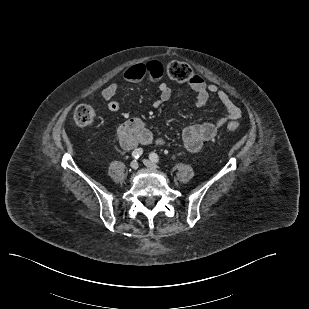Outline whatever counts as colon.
Returning a JSON list of instances; mask_svg holds the SVG:
<instances>
[{"label": "colon", "instance_id": "obj_1", "mask_svg": "<svg viewBox=\"0 0 309 309\" xmlns=\"http://www.w3.org/2000/svg\"><path fill=\"white\" fill-rule=\"evenodd\" d=\"M165 71L170 79L179 83H189L195 77L192 68L187 63L180 61L168 63ZM97 116V111L88 104H81L74 111V120L81 127L91 126L96 121ZM226 127L229 131H235L238 129L239 124L229 122Z\"/></svg>", "mask_w": 309, "mask_h": 309}]
</instances>
